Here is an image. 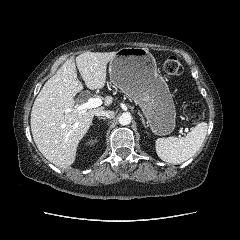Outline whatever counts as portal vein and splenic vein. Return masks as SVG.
Masks as SVG:
<instances>
[{"label": "portal vein and splenic vein", "instance_id": "obj_1", "mask_svg": "<svg viewBox=\"0 0 240 240\" xmlns=\"http://www.w3.org/2000/svg\"><path fill=\"white\" fill-rule=\"evenodd\" d=\"M102 104V100L100 98H89L87 102L79 105L76 107V110L78 111H85V110H88V109H92V108H96V107H99L100 105ZM183 132L185 134L188 133V128H185V129H180L179 133L181 136L183 134Z\"/></svg>", "mask_w": 240, "mask_h": 240}]
</instances>
